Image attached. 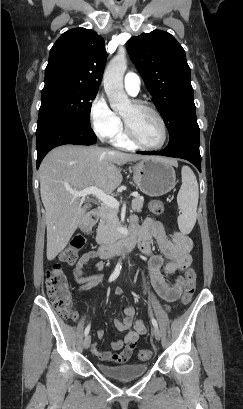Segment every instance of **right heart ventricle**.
I'll list each match as a JSON object with an SVG mask.
<instances>
[{"label":"right heart ventricle","mask_w":243,"mask_h":409,"mask_svg":"<svg viewBox=\"0 0 243 409\" xmlns=\"http://www.w3.org/2000/svg\"><path fill=\"white\" fill-rule=\"evenodd\" d=\"M115 143L118 147L124 148V149H132L134 144H132L125 133H121L116 139Z\"/></svg>","instance_id":"obj_1"}]
</instances>
